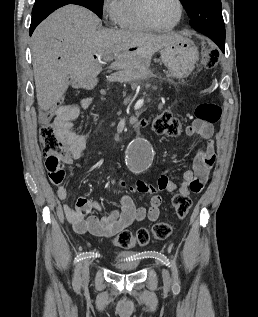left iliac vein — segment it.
I'll return each instance as SVG.
<instances>
[{
    "instance_id": "obj_1",
    "label": "left iliac vein",
    "mask_w": 258,
    "mask_h": 317,
    "mask_svg": "<svg viewBox=\"0 0 258 317\" xmlns=\"http://www.w3.org/2000/svg\"><path fill=\"white\" fill-rule=\"evenodd\" d=\"M163 276H164V278L167 279V278H169L170 275H169V273L167 271H164L163 272Z\"/></svg>"
}]
</instances>
